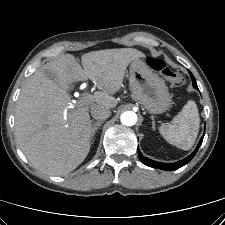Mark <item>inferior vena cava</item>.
<instances>
[{
    "label": "inferior vena cava",
    "instance_id": "602c4592",
    "mask_svg": "<svg viewBox=\"0 0 225 225\" xmlns=\"http://www.w3.org/2000/svg\"><path fill=\"white\" fill-rule=\"evenodd\" d=\"M111 111L105 106H93L91 108V116L98 121H103L110 117Z\"/></svg>",
    "mask_w": 225,
    "mask_h": 225
}]
</instances>
